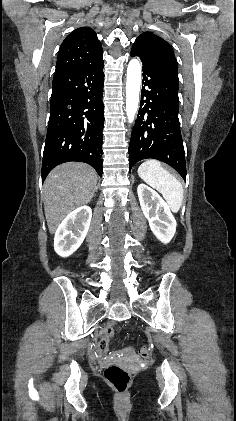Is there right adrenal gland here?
<instances>
[{"label": "right adrenal gland", "mask_w": 236, "mask_h": 421, "mask_svg": "<svg viewBox=\"0 0 236 421\" xmlns=\"http://www.w3.org/2000/svg\"><path fill=\"white\" fill-rule=\"evenodd\" d=\"M97 188H99V184H97V186H96V192H97Z\"/></svg>", "instance_id": "2a0ac1e0"}]
</instances>
